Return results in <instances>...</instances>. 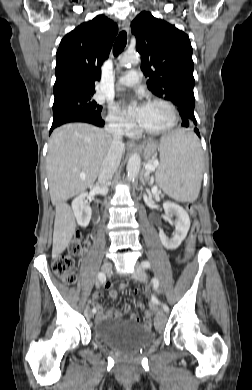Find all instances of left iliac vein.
I'll return each instance as SVG.
<instances>
[{
	"mask_svg": "<svg viewBox=\"0 0 252 390\" xmlns=\"http://www.w3.org/2000/svg\"><path fill=\"white\" fill-rule=\"evenodd\" d=\"M133 278L138 280V281H142V282L145 281V279H146L145 270L142 267L137 266L135 271L133 272ZM154 312L156 314L157 320H163V318L165 316V312L163 310H160L158 308H154Z\"/></svg>",
	"mask_w": 252,
	"mask_h": 390,
	"instance_id": "left-iliac-vein-1",
	"label": "left iliac vein"
}]
</instances>
